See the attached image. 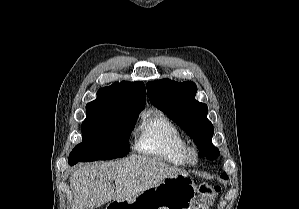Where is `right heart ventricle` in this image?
I'll return each instance as SVG.
<instances>
[{"instance_id":"right-heart-ventricle-1","label":"right heart ventricle","mask_w":299,"mask_h":209,"mask_svg":"<svg viewBox=\"0 0 299 209\" xmlns=\"http://www.w3.org/2000/svg\"><path fill=\"white\" fill-rule=\"evenodd\" d=\"M188 141L181 130L163 113L144 117L137 131L135 149L176 166H184Z\"/></svg>"}]
</instances>
